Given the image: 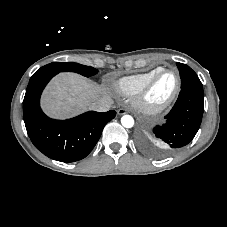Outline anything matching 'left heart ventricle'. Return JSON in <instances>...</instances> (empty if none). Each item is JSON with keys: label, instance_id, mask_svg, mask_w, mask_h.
<instances>
[{"label": "left heart ventricle", "instance_id": "left-heart-ventricle-1", "mask_svg": "<svg viewBox=\"0 0 227 227\" xmlns=\"http://www.w3.org/2000/svg\"><path fill=\"white\" fill-rule=\"evenodd\" d=\"M176 83L175 75L172 72L164 73L156 82L148 95L151 103H160L172 93Z\"/></svg>", "mask_w": 227, "mask_h": 227}]
</instances>
